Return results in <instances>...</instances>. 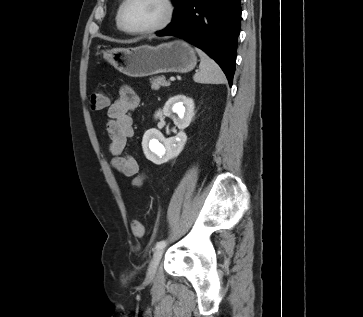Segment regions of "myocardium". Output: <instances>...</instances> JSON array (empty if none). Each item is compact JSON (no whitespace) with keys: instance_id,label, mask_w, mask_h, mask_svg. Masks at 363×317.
<instances>
[{"instance_id":"f54148a6","label":"myocardium","mask_w":363,"mask_h":317,"mask_svg":"<svg viewBox=\"0 0 363 317\" xmlns=\"http://www.w3.org/2000/svg\"><path fill=\"white\" fill-rule=\"evenodd\" d=\"M129 2H130V0H123L121 2L118 12H117L118 26L122 31H124L128 34H131V35L154 34V33L160 32V31L164 30L166 27H168L173 19L175 9H174L172 0H161V2L163 3V5L165 7V15L158 24L148 27V28H143V29H136V30L130 29V28L126 27V25L124 23V10H125L126 5Z\"/></svg>"}]
</instances>
